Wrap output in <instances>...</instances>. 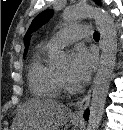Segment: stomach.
<instances>
[{
    "label": "stomach",
    "instance_id": "0dacf381",
    "mask_svg": "<svg viewBox=\"0 0 123 130\" xmlns=\"http://www.w3.org/2000/svg\"><path fill=\"white\" fill-rule=\"evenodd\" d=\"M72 124L76 126V125L79 124V121H77V120H72Z\"/></svg>",
    "mask_w": 123,
    "mask_h": 130
}]
</instances>
